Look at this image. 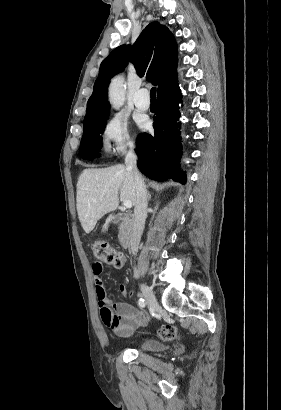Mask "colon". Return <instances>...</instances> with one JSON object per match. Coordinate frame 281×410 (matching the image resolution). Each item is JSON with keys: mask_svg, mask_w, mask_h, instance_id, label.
<instances>
[{"mask_svg": "<svg viewBox=\"0 0 281 410\" xmlns=\"http://www.w3.org/2000/svg\"><path fill=\"white\" fill-rule=\"evenodd\" d=\"M93 252L97 259L116 268L122 267L125 262V258L121 253L109 248L106 243L102 241L94 243ZM102 319L104 324L112 330L119 325L118 318L115 315H112L110 312H105ZM177 334L178 330L173 325H166L158 329V336L161 340L164 341L175 339L177 337Z\"/></svg>", "mask_w": 281, "mask_h": 410, "instance_id": "1", "label": "colon"}]
</instances>
